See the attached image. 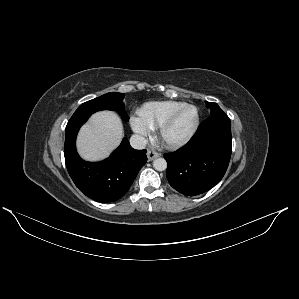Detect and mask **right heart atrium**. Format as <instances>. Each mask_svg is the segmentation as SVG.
Instances as JSON below:
<instances>
[{"instance_id": "d8ad5b80", "label": "right heart atrium", "mask_w": 299, "mask_h": 299, "mask_svg": "<svg viewBox=\"0 0 299 299\" xmlns=\"http://www.w3.org/2000/svg\"><path fill=\"white\" fill-rule=\"evenodd\" d=\"M130 125L132 130L139 136V137H146L150 134L151 129H149L139 117L132 116L130 118Z\"/></svg>"}]
</instances>
